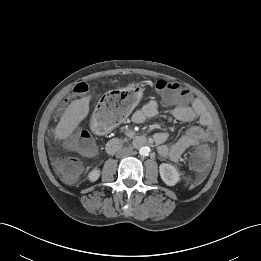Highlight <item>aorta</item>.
Returning a JSON list of instances; mask_svg holds the SVG:
<instances>
[{
    "mask_svg": "<svg viewBox=\"0 0 261 261\" xmlns=\"http://www.w3.org/2000/svg\"><path fill=\"white\" fill-rule=\"evenodd\" d=\"M150 152V148L149 147H141L139 149V154L142 155V156H147Z\"/></svg>",
    "mask_w": 261,
    "mask_h": 261,
    "instance_id": "aorta-1",
    "label": "aorta"
}]
</instances>
